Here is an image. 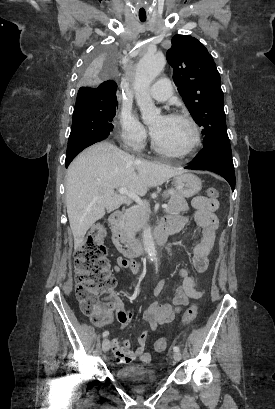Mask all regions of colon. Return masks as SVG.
I'll return each instance as SVG.
<instances>
[{
    "label": "colon",
    "mask_w": 275,
    "mask_h": 409,
    "mask_svg": "<svg viewBox=\"0 0 275 409\" xmlns=\"http://www.w3.org/2000/svg\"><path fill=\"white\" fill-rule=\"evenodd\" d=\"M218 194L217 189L207 191V196L212 201H216ZM105 235L104 224L95 223L76 251L75 294L83 314L94 325H105L112 317L113 311H117V307L122 303L113 293L116 280L109 274L110 261L106 256ZM197 313L195 304L189 306L184 313L182 323L190 324L197 317ZM167 345L168 341L161 339L154 343V350L164 351Z\"/></svg>",
    "instance_id": "colon-1"
}]
</instances>
